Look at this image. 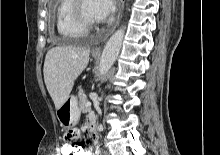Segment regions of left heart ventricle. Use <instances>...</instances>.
I'll list each match as a JSON object with an SVG mask.
<instances>
[{"label":"left heart ventricle","mask_w":220,"mask_h":155,"mask_svg":"<svg viewBox=\"0 0 220 155\" xmlns=\"http://www.w3.org/2000/svg\"><path fill=\"white\" fill-rule=\"evenodd\" d=\"M93 0H82V7L85 15L93 20H96L92 10Z\"/></svg>","instance_id":"1"}]
</instances>
